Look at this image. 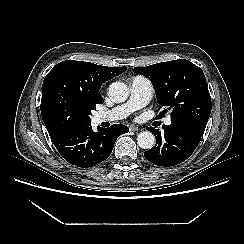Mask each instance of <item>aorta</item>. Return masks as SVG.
Segmentation results:
<instances>
[{"instance_id": "aorta-1", "label": "aorta", "mask_w": 244, "mask_h": 244, "mask_svg": "<svg viewBox=\"0 0 244 244\" xmlns=\"http://www.w3.org/2000/svg\"><path fill=\"white\" fill-rule=\"evenodd\" d=\"M129 88L123 82H114L109 86V95L117 103L124 102L129 96ZM155 136L149 131H143L137 136V144L142 149H151L155 145Z\"/></svg>"}]
</instances>
